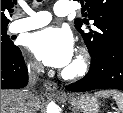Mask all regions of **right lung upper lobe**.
Wrapping results in <instances>:
<instances>
[{
    "instance_id": "cb5924a9",
    "label": "right lung upper lobe",
    "mask_w": 123,
    "mask_h": 113,
    "mask_svg": "<svg viewBox=\"0 0 123 113\" xmlns=\"http://www.w3.org/2000/svg\"><path fill=\"white\" fill-rule=\"evenodd\" d=\"M16 0H1V28L7 27L9 19L7 16L13 11Z\"/></svg>"
}]
</instances>
